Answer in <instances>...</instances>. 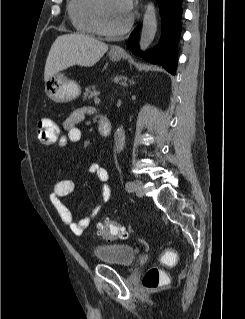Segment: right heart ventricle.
<instances>
[{
	"label": "right heart ventricle",
	"mask_w": 245,
	"mask_h": 319,
	"mask_svg": "<svg viewBox=\"0 0 245 319\" xmlns=\"http://www.w3.org/2000/svg\"><path fill=\"white\" fill-rule=\"evenodd\" d=\"M97 0H69L68 14L75 29L83 34H100L95 20Z\"/></svg>",
	"instance_id": "e07e8e85"
}]
</instances>
